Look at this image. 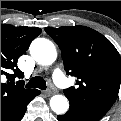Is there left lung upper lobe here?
<instances>
[{
  "mask_svg": "<svg viewBox=\"0 0 121 121\" xmlns=\"http://www.w3.org/2000/svg\"><path fill=\"white\" fill-rule=\"evenodd\" d=\"M59 45L76 87L64 90L70 108L102 118L115 102L121 82V58L113 44L85 26L46 28Z\"/></svg>",
  "mask_w": 121,
  "mask_h": 121,
  "instance_id": "left-lung-upper-lobe-1",
  "label": "left lung upper lobe"
}]
</instances>
